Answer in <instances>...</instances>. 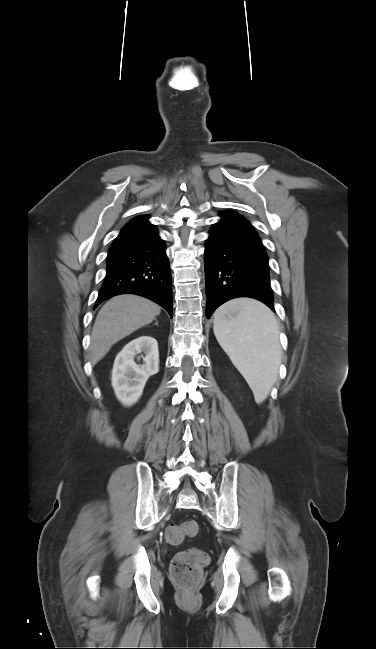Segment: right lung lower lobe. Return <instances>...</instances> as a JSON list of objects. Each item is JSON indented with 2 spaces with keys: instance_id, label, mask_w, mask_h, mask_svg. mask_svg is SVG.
<instances>
[{
  "instance_id": "1",
  "label": "right lung lower lobe",
  "mask_w": 376,
  "mask_h": 649,
  "mask_svg": "<svg viewBox=\"0 0 376 649\" xmlns=\"http://www.w3.org/2000/svg\"><path fill=\"white\" fill-rule=\"evenodd\" d=\"M165 244L157 229L116 239L94 308L119 294H136L162 306L172 317V286Z\"/></svg>"
}]
</instances>
